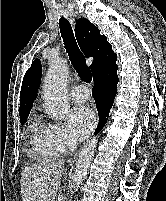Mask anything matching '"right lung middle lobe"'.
Listing matches in <instances>:
<instances>
[{
  "label": "right lung middle lobe",
  "instance_id": "obj_1",
  "mask_svg": "<svg viewBox=\"0 0 166 201\" xmlns=\"http://www.w3.org/2000/svg\"><path fill=\"white\" fill-rule=\"evenodd\" d=\"M28 116L22 117L20 118L21 124L24 125V123L26 122Z\"/></svg>",
  "mask_w": 166,
  "mask_h": 201
}]
</instances>
